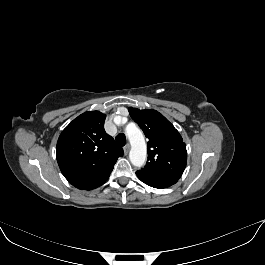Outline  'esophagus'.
Segmentation results:
<instances>
[{
	"mask_svg": "<svg viewBox=\"0 0 265 265\" xmlns=\"http://www.w3.org/2000/svg\"><path fill=\"white\" fill-rule=\"evenodd\" d=\"M130 150V145L127 144L126 146H124V152L127 154Z\"/></svg>",
	"mask_w": 265,
	"mask_h": 265,
	"instance_id": "1",
	"label": "esophagus"
}]
</instances>
